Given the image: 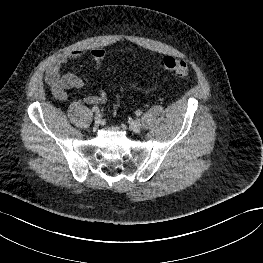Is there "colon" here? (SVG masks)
<instances>
[{"label": "colon", "instance_id": "obj_1", "mask_svg": "<svg viewBox=\"0 0 263 263\" xmlns=\"http://www.w3.org/2000/svg\"><path fill=\"white\" fill-rule=\"evenodd\" d=\"M159 66L161 69L171 72L180 78H190L189 66L182 58L166 56L159 62Z\"/></svg>", "mask_w": 263, "mask_h": 263}]
</instances>
